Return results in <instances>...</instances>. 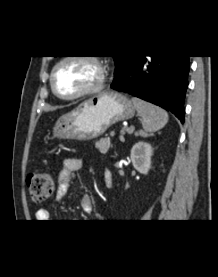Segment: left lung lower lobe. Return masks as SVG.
<instances>
[{
	"label": "left lung lower lobe",
	"mask_w": 218,
	"mask_h": 277,
	"mask_svg": "<svg viewBox=\"0 0 218 277\" xmlns=\"http://www.w3.org/2000/svg\"><path fill=\"white\" fill-rule=\"evenodd\" d=\"M189 68V56L135 55L115 76L111 88L171 111L183 123Z\"/></svg>",
	"instance_id": "0a47b994"
}]
</instances>
